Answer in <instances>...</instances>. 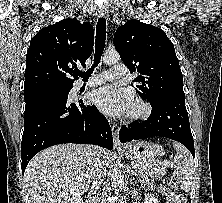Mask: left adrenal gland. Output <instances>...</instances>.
<instances>
[{
    "label": "left adrenal gland",
    "mask_w": 222,
    "mask_h": 203,
    "mask_svg": "<svg viewBox=\"0 0 222 203\" xmlns=\"http://www.w3.org/2000/svg\"><path fill=\"white\" fill-rule=\"evenodd\" d=\"M127 174L133 176V180L138 176L137 172H135L134 170H132V168L130 166H127Z\"/></svg>",
    "instance_id": "obj_1"
}]
</instances>
